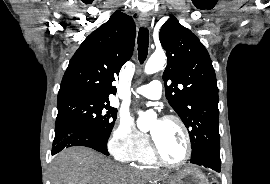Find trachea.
I'll use <instances>...</instances> for the list:
<instances>
[{
	"instance_id": "obj_1",
	"label": "trachea",
	"mask_w": 270,
	"mask_h": 184,
	"mask_svg": "<svg viewBox=\"0 0 270 184\" xmlns=\"http://www.w3.org/2000/svg\"><path fill=\"white\" fill-rule=\"evenodd\" d=\"M149 31L141 27L138 33V56L140 63H143L148 54Z\"/></svg>"
}]
</instances>
